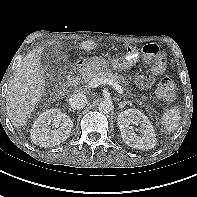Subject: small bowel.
I'll return each mask as SVG.
<instances>
[{
    "instance_id": "small-bowel-1",
    "label": "small bowel",
    "mask_w": 197,
    "mask_h": 197,
    "mask_svg": "<svg viewBox=\"0 0 197 197\" xmlns=\"http://www.w3.org/2000/svg\"><path fill=\"white\" fill-rule=\"evenodd\" d=\"M154 79L148 75H140L136 78V84L141 88H149L153 85Z\"/></svg>"
}]
</instances>
